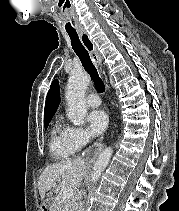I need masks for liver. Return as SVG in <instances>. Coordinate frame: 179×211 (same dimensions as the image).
Here are the masks:
<instances>
[{
    "label": "liver",
    "instance_id": "obj_1",
    "mask_svg": "<svg viewBox=\"0 0 179 211\" xmlns=\"http://www.w3.org/2000/svg\"><path fill=\"white\" fill-rule=\"evenodd\" d=\"M86 171L87 164L81 157L47 166L38 180V190L43 199V205L48 209L44 198L46 192L51 190L52 187L56 189L79 188ZM54 184L56 185L54 186ZM49 211H58L56 204H52Z\"/></svg>",
    "mask_w": 179,
    "mask_h": 211
}]
</instances>
